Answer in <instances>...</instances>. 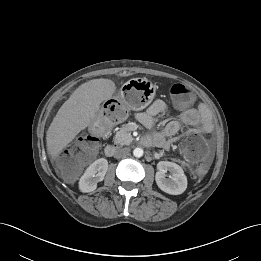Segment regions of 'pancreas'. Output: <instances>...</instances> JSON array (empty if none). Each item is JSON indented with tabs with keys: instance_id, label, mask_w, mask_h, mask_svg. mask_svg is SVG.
Returning <instances> with one entry per match:
<instances>
[{
	"instance_id": "cf45deb5",
	"label": "pancreas",
	"mask_w": 261,
	"mask_h": 261,
	"mask_svg": "<svg viewBox=\"0 0 261 261\" xmlns=\"http://www.w3.org/2000/svg\"><path fill=\"white\" fill-rule=\"evenodd\" d=\"M132 141L133 137L130 133V125L123 124L114 137V143L123 146L130 145Z\"/></svg>"
}]
</instances>
